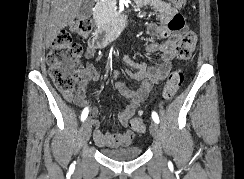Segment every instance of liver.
Segmentation results:
<instances>
[{"mask_svg": "<svg viewBox=\"0 0 244 179\" xmlns=\"http://www.w3.org/2000/svg\"><path fill=\"white\" fill-rule=\"evenodd\" d=\"M82 0H52L50 16L47 24L46 46L54 42L65 26L72 24L80 8Z\"/></svg>", "mask_w": 244, "mask_h": 179, "instance_id": "liver-1", "label": "liver"}]
</instances>
